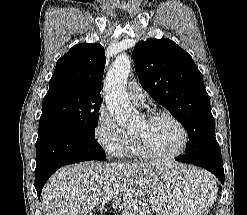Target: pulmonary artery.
Returning a JSON list of instances; mask_svg holds the SVG:
<instances>
[{"instance_id":"obj_1","label":"pulmonary artery","mask_w":247,"mask_h":215,"mask_svg":"<svg viewBox=\"0 0 247 215\" xmlns=\"http://www.w3.org/2000/svg\"><path fill=\"white\" fill-rule=\"evenodd\" d=\"M127 90L130 100L136 105L142 104L147 97L146 91L134 80L128 83Z\"/></svg>"}]
</instances>
